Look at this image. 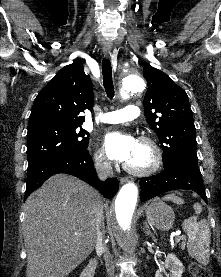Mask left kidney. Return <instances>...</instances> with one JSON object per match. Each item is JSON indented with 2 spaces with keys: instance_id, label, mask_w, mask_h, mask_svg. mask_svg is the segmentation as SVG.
Wrapping results in <instances>:
<instances>
[{
  "instance_id": "left-kidney-1",
  "label": "left kidney",
  "mask_w": 221,
  "mask_h": 277,
  "mask_svg": "<svg viewBox=\"0 0 221 277\" xmlns=\"http://www.w3.org/2000/svg\"><path fill=\"white\" fill-rule=\"evenodd\" d=\"M165 266L170 270V275H167V277H182L183 264L174 254L167 255ZM163 273L164 269H159L156 271L155 277H163Z\"/></svg>"
}]
</instances>
